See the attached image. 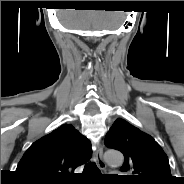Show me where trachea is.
<instances>
[{"label":"trachea","mask_w":184,"mask_h":184,"mask_svg":"<svg viewBox=\"0 0 184 184\" xmlns=\"http://www.w3.org/2000/svg\"><path fill=\"white\" fill-rule=\"evenodd\" d=\"M84 170H85L86 172H91V173H93V174H98V173H100V171H99V169H98V167L96 166L95 163H89V164H87V165L85 166Z\"/></svg>","instance_id":"3493384b"}]
</instances>
